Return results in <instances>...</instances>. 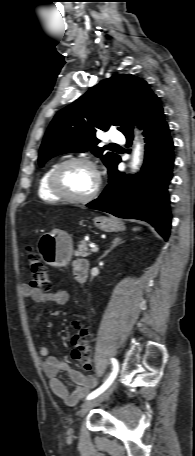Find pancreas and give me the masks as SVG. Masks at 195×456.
<instances>
[{
	"mask_svg": "<svg viewBox=\"0 0 195 456\" xmlns=\"http://www.w3.org/2000/svg\"><path fill=\"white\" fill-rule=\"evenodd\" d=\"M91 253L89 252L88 250V245L85 241H80L79 245H78V249L74 251V255L75 256H83V257H87L89 256Z\"/></svg>",
	"mask_w": 195,
	"mask_h": 456,
	"instance_id": "1",
	"label": "pancreas"
}]
</instances>
